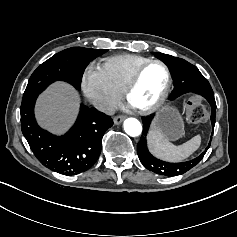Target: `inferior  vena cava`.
<instances>
[{"label": "inferior vena cava", "mask_w": 237, "mask_h": 237, "mask_svg": "<svg viewBox=\"0 0 237 237\" xmlns=\"http://www.w3.org/2000/svg\"><path fill=\"white\" fill-rule=\"evenodd\" d=\"M93 106L100 112H103L107 115H114L115 111L119 108V104H113L106 100H94Z\"/></svg>", "instance_id": "1"}]
</instances>
